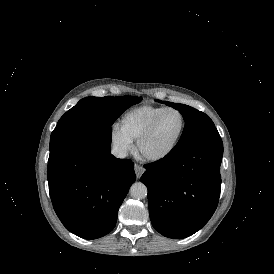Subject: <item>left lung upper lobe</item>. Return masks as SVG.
Wrapping results in <instances>:
<instances>
[{
  "mask_svg": "<svg viewBox=\"0 0 274 274\" xmlns=\"http://www.w3.org/2000/svg\"><path fill=\"white\" fill-rule=\"evenodd\" d=\"M157 101L179 110L185 121L181 138L175 148L171 150L172 152H178L204 141L221 140L213 121L205 113L188 105Z\"/></svg>",
  "mask_w": 274,
  "mask_h": 274,
  "instance_id": "left-lung-upper-lobe-1",
  "label": "left lung upper lobe"
}]
</instances>
